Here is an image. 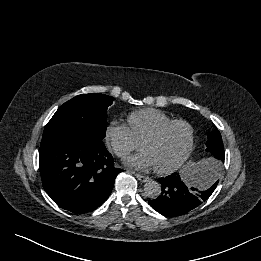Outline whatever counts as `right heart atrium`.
I'll use <instances>...</instances> for the list:
<instances>
[{
  "label": "right heart atrium",
  "mask_w": 261,
  "mask_h": 261,
  "mask_svg": "<svg viewBox=\"0 0 261 261\" xmlns=\"http://www.w3.org/2000/svg\"><path fill=\"white\" fill-rule=\"evenodd\" d=\"M104 137L111 151L120 158L126 157L139 147V142L124 124L109 123L105 128Z\"/></svg>",
  "instance_id": "1"
}]
</instances>
